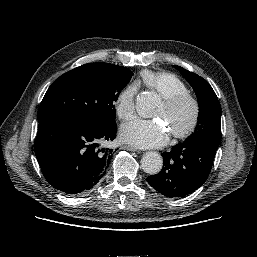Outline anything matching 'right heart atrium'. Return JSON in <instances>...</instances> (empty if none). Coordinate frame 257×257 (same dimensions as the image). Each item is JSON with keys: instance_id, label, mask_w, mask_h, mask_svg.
Wrapping results in <instances>:
<instances>
[{"instance_id": "right-heart-atrium-1", "label": "right heart atrium", "mask_w": 257, "mask_h": 257, "mask_svg": "<svg viewBox=\"0 0 257 257\" xmlns=\"http://www.w3.org/2000/svg\"><path fill=\"white\" fill-rule=\"evenodd\" d=\"M137 86L134 83L126 85L116 99V113L122 120H129L135 113V98Z\"/></svg>"}]
</instances>
